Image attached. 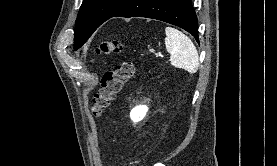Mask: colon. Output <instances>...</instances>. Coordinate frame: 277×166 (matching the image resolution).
I'll return each instance as SVG.
<instances>
[{
    "instance_id": "5ec220e1",
    "label": "colon",
    "mask_w": 277,
    "mask_h": 166,
    "mask_svg": "<svg viewBox=\"0 0 277 166\" xmlns=\"http://www.w3.org/2000/svg\"><path fill=\"white\" fill-rule=\"evenodd\" d=\"M123 45L119 40L110 39L100 42L96 48L98 55L118 54L122 51ZM135 74V63L133 61H123L116 67L103 74L101 87L95 94L91 106V113L95 118H100L112 101L121 91L123 85Z\"/></svg>"
}]
</instances>
